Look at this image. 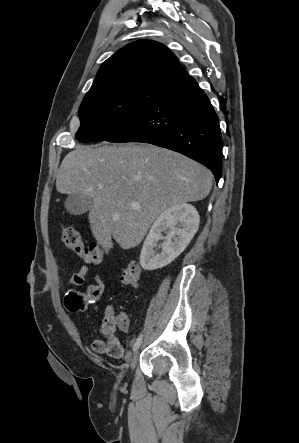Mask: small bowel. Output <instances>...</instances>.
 Returning a JSON list of instances; mask_svg holds the SVG:
<instances>
[{"label": "small bowel", "mask_w": 299, "mask_h": 443, "mask_svg": "<svg viewBox=\"0 0 299 443\" xmlns=\"http://www.w3.org/2000/svg\"><path fill=\"white\" fill-rule=\"evenodd\" d=\"M89 272V266L83 265L76 273H74L68 283L70 286H80L85 282V277ZM105 286L101 276L96 273L94 275V283L87 286L84 292L70 290L65 296V307L71 312H79L86 309L89 305H95L102 297ZM126 318V326L128 324V316L121 313ZM116 314L114 308L108 306L103 313V335L104 338H93L91 341V349L98 354H107L108 356L120 359L129 358L130 354L125 351L123 344L115 337L111 324L115 320ZM125 326V327H126ZM124 327V328H125Z\"/></svg>", "instance_id": "1"}]
</instances>
